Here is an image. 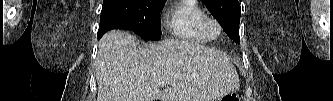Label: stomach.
Masks as SVG:
<instances>
[{"label": "stomach", "instance_id": "stomach-1", "mask_svg": "<svg viewBox=\"0 0 333 101\" xmlns=\"http://www.w3.org/2000/svg\"><path fill=\"white\" fill-rule=\"evenodd\" d=\"M216 101H239V97L236 94V92L232 91V92L218 98Z\"/></svg>", "mask_w": 333, "mask_h": 101}]
</instances>
